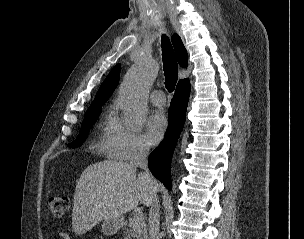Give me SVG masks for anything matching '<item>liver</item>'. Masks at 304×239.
Returning <instances> with one entry per match:
<instances>
[{
	"mask_svg": "<svg viewBox=\"0 0 304 239\" xmlns=\"http://www.w3.org/2000/svg\"><path fill=\"white\" fill-rule=\"evenodd\" d=\"M159 185L156 182L157 194ZM153 190L127 162L105 160L88 166L77 181L72 211L76 234L108 218H120L138 203L149 206Z\"/></svg>",
	"mask_w": 304,
	"mask_h": 239,
	"instance_id": "obj_1",
	"label": "liver"
}]
</instances>
